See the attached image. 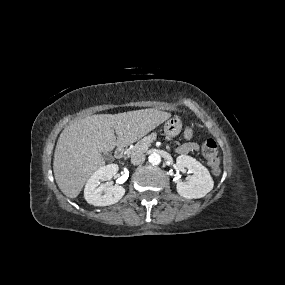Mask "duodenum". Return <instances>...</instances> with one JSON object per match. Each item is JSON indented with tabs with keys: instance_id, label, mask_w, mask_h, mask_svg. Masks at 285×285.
Returning a JSON list of instances; mask_svg holds the SVG:
<instances>
[{
	"instance_id": "1",
	"label": "duodenum",
	"mask_w": 285,
	"mask_h": 285,
	"mask_svg": "<svg viewBox=\"0 0 285 285\" xmlns=\"http://www.w3.org/2000/svg\"><path fill=\"white\" fill-rule=\"evenodd\" d=\"M124 153H125V149L122 146L118 147L115 152L118 158H121L124 155Z\"/></svg>"
}]
</instances>
